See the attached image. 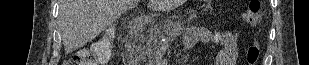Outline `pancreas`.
Wrapping results in <instances>:
<instances>
[{"instance_id":"pancreas-1","label":"pancreas","mask_w":309,"mask_h":65,"mask_svg":"<svg viewBox=\"0 0 309 65\" xmlns=\"http://www.w3.org/2000/svg\"><path fill=\"white\" fill-rule=\"evenodd\" d=\"M173 27L169 22H164L162 25H151L150 33L147 37H144V43H146V47L139 46L137 52L139 55L137 58L139 60L144 59L145 57L152 58L155 54L153 43L162 35L166 33H172ZM176 33V32H175Z\"/></svg>"}]
</instances>
